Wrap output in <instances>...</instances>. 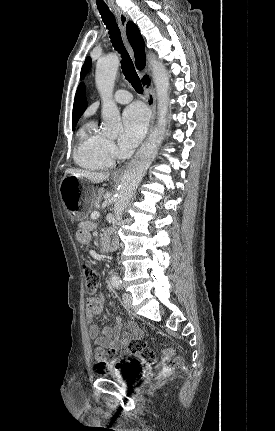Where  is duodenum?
<instances>
[{"instance_id": "obj_1", "label": "duodenum", "mask_w": 275, "mask_h": 431, "mask_svg": "<svg viewBox=\"0 0 275 431\" xmlns=\"http://www.w3.org/2000/svg\"><path fill=\"white\" fill-rule=\"evenodd\" d=\"M117 249L116 240L109 234H106L101 240V251L111 252Z\"/></svg>"}]
</instances>
